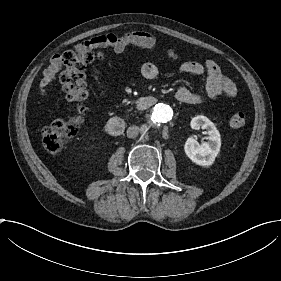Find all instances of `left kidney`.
Listing matches in <instances>:
<instances>
[{
  "label": "left kidney",
  "mask_w": 281,
  "mask_h": 281,
  "mask_svg": "<svg viewBox=\"0 0 281 281\" xmlns=\"http://www.w3.org/2000/svg\"><path fill=\"white\" fill-rule=\"evenodd\" d=\"M190 125L195 130H198L200 127L207 130L209 141L199 144L195 138L189 137L184 145L186 155L198 165H212L221 147L219 131L213 122L202 115L192 118Z\"/></svg>",
  "instance_id": "1"
}]
</instances>
